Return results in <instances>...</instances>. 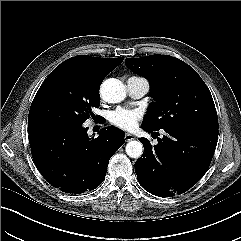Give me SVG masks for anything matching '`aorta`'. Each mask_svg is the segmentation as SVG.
<instances>
[{"label": "aorta", "mask_w": 241, "mask_h": 241, "mask_svg": "<svg viewBox=\"0 0 241 241\" xmlns=\"http://www.w3.org/2000/svg\"><path fill=\"white\" fill-rule=\"evenodd\" d=\"M100 95L108 103H120L126 97V89L120 80L109 78L101 84ZM125 149L127 155L135 159L143 153L142 143L136 140L128 142Z\"/></svg>", "instance_id": "obj_1"}]
</instances>
